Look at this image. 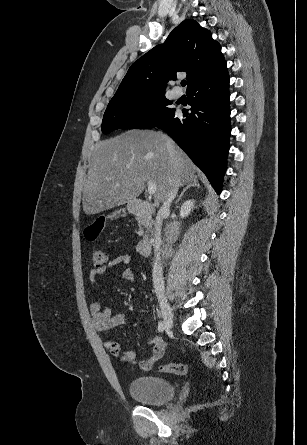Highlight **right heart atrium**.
<instances>
[{"label":"right heart atrium","instance_id":"obj_1","mask_svg":"<svg viewBox=\"0 0 307 445\" xmlns=\"http://www.w3.org/2000/svg\"><path fill=\"white\" fill-rule=\"evenodd\" d=\"M150 110V108L148 107V106H145L143 109H142V112H148Z\"/></svg>","mask_w":307,"mask_h":445}]
</instances>
